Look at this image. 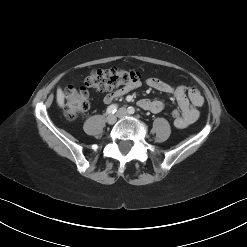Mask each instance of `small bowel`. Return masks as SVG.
I'll return each mask as SVG.
<instances>
[{"mask_svg":"<svg viewBox=\"0 0 247 247\" xmlns=\"http://www.w3.org/2000/svg\"><path fill=\"white\" fill-rule=\"evenodd\" d=\"M145 83L147 86L155 90L171 94L175 97L181 109L180 118L174 121L175 127H177L178 129H184L198 119L199 108L204 103V97L196 88L186 87L184 85L173 86L159 78H148ZM140 85L141 83L138 80L125 87L112 91L104 97V102L106 104H109L115 99L138 88ZM138 105L143 110L152 113H159L165 107L164 102H162L161 100L147 99V98L139 100Z\"/></svg>","mask_w":247,"mask_h":247,"instance_id":"small-bowel-1","label":"small bowel"}]
</instances>
